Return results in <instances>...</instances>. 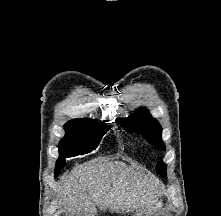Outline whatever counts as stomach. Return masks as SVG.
I'll use <instances>...</instances> for the list:
<instances>
[{
    "label": "stomach",
    "instance_id": "obj_1",
    "mask_svg": "<svg viewBox=\"0 0 221 216\" xmlns=\"http://www.w3.org/2000/svg\"><path fill=\"white\" fill-rule=\"evenodd\" d=\"M161 207H162V202L161 201L157 202L156 203V208H161Z\"/></svg>",
    "mask_w": 221,
    "mask_h": 216
}]
</instances>
